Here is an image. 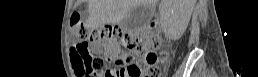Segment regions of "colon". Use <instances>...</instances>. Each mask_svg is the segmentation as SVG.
<instances>
[{"label": "colon", "mask_w": 258, "mask_h": 77, "mask_svg": "<svg viewBox=\"0 0 258 77\" xmlns=\"http://www.w3.org/2000/svg\"><path fill=\"white\" fill-rule=\"evenodd\" d=\"M72 28L77 38L73 48V67L78 77L93 76L104 67L101 56H93L96 48L110 49L119 45L126 49L118 61L119 69L110 77H159L158 64L166 60L164 52H157L161 40L157 35H131L118 26L91 28L80 21L77 14L71 16Z\"/></svg>", "instance_id": "1"}]
</instances>
